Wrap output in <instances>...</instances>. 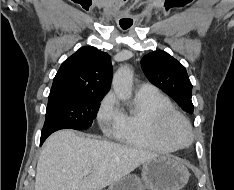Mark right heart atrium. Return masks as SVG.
Segmentation results:
<instances>
[{"mask_svg": "<svg viewBox=\"0 0 234 190\" xmlns=\"http://www.w3.org/2000/svg\"><path fill=\"white\" fill-rule=\"evenodd\" d=\"M97 120L104 133L111 135L116 132L120 121V109L113 93L106 94L101 100Z\"/></svg>", "mask_w": 234, "mask_h": 190, "instance_id": "1", "label": "right heart atrium"}]
</instances>
